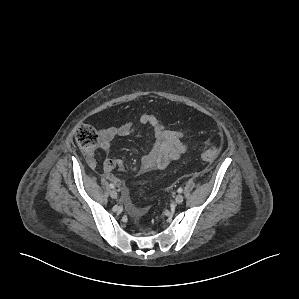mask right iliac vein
I'll return each mask as SVG.
<instances>
[{
  "mask_svg": "<svg viewBox=\"0 0 299 299\" xmlns=\"http://www.w3.org/2000/svg\"><path fill=\"white\" fill-rule=\"evenodd\" d=\"M109 194H110L111 198H113V199H116L118 196V194L115 190H110Z\"/></svg>",
  "mask_w": 299,
  "mask_h": 299,
  "instance_id": "1",
  "label": "right iliac vein"
}]
</instances>
